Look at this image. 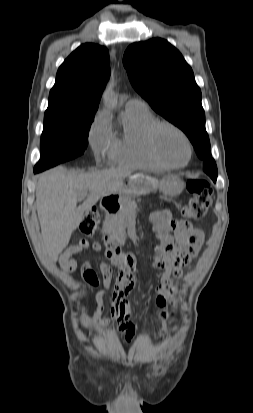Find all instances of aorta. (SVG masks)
<instances>
[{
  "label": "aorta",
  "mask_w": 253,
  "mask_h": 413,
  "mask_svg": "<svg viewBox=\"0 0 253 413\" xmlns=\"http://www.w3.org/2000/svg\"><path fill=\"white\" fill-rule=\"evenodd\" d=\"M113 85L114 82H112L108 88L106 89L105 93H104V103L108 106H113L116 104L117 100H116V96L114 94L113 91Z\"/></svg>",
  "instance_id": "762f6f07"
}]
</instances>
